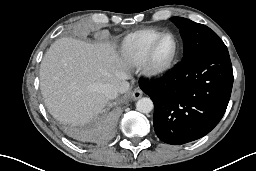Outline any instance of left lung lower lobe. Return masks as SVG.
<instances>
[{"mask_svg":"<svg viewBox=\"0 0 256 171\" xmlns=\"http://www.w3.org/2000/svg\"><path fill=\"white\" fill-rule=\"evenodd\" d=\"M233 70L227 48L208 49L182 60L162 78H140L152 99L157 136L173 145L208 134L223 117L231 95Z\"/></svg>","mask_w":256,"mask_h":171,"instance_id":"obj_1","label":"left lung lower lobe"}]
</instances>
